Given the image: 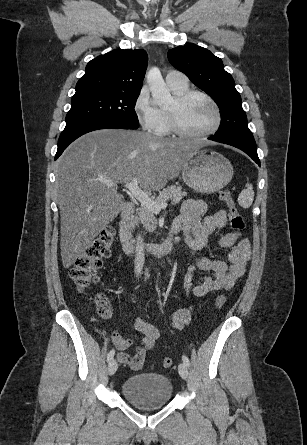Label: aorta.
<instances>
[{
  "label": "aorta",
  "instance_id": "1",
  "mask_svg": "<svg viewBox=\"0 0 307 445\" xmlns=\"http://www.w3.org/2000/svg\"><path fill=\"white\" fill-rule=\"evenodd\" d=\"M147 84L151 90L153 100L158 106L173 104L174 98L171 96L170 90L167 88L166 82L157 66L150 68L147 74Z\"/></svg>",
  "mask_w": 307,
  "mask_h": 445
}]
</instances>
